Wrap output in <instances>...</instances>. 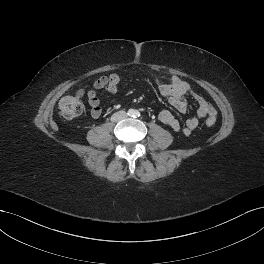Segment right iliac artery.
Wrapping results in <instances>:
<instances>
[{"label":"right iliac artery","mask_w":264,"mask_h":264,"mask_svg":"<svg viewBox=\"0 0 264 264\" xmlns=\"http://www.w3.org/2000/svg\"><path fill=\"white\" fill-rule=\"evenodd\" d=\"M128 115H129V116H133V115H134V111H133L132 109H130V110L128 111Z\"/></svg>","instance_id":"obj_1"}]
</instances>
